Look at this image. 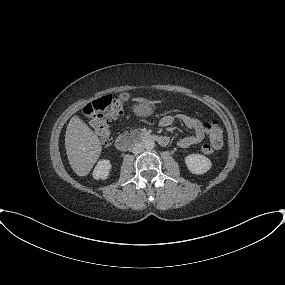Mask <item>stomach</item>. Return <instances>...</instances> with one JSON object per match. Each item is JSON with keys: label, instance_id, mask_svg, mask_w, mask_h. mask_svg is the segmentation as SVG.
Instances as JSON below:
<instances>
[{"label": "stomach", "instance_id": "stomach-1", "mask_svg": "<svg viewBox=\"0 0 285 285\" xmlns=\"http://www.w3.org/2000/svg\"><path fill=\"white\" fill-rule=\"evenodd\" d=\"M152 109V105L148 103H142L139 106L135 107L136 113L142 116L151 114Z\"/></svg>", "mask_w": 285, "mask_h": 285}]
</instances>
